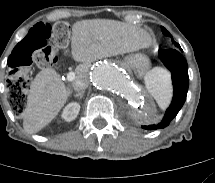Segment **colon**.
<instances>
[{"instance_id": "obj_1", "label": "colon", "mask_w": 215, "mask_h": 183, "mask_svg": "<svg viewBox=\"0 0 215 183\" xmlns=\"http://www.w3.org/2000/svg\"><path fill=\"white\" fill-rule=\"evenodd\" d=\"M68 36L69 28L66 23L57 22L54 25H49L45 21H38L27 37L12 47L5 59V64L10 71L8 101L16 113L23 112L27 105L30 78L26 69L32 64L42 68L54 65L58 60L57 53L48 41L65 43Z\"/></svg>"}]
</instances>
